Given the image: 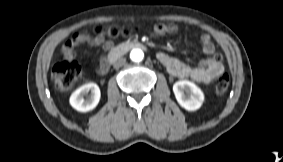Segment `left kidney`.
Here are the masks:
<instances>
[{"mask_svg":"<svg viewBox=\"0 0 283 162\" xmlns=\"http://www.w3.org/2000/svg\"><path fill=\"white\" fill-rule=\"evenodd\" d=\"M173 92L179 105L188 111H195L203 104L204 94L193 82L177 81L173 85Z\"/></svg>","mask_w":283,"mask_h":162,"instance_id":"5707ae66","label":"left kidney"}]
</instances>
